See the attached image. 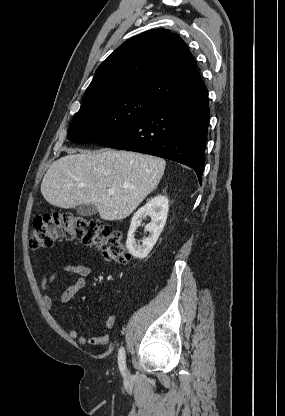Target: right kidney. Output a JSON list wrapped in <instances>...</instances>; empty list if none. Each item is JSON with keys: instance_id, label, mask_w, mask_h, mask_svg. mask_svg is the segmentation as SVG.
I'll list each match as a JSON object with an SVG mask.
<instances>
[{"instance_id": "right-kidney-1", "label": "right kidney", "mask_w": 285, "mask_h": 416, "mask_svg": "<svg viewBox=\"0 0 285 416\" xmlns=\"http://www.w3.org/2000/svg\"><path fill=\"white\" fill-rule=\"evenodd\" d=\"M169 206L167 196H155L149 200L145 206H142L131 220V226L128 230L126 248L137 260H144L150 254L155 246L167 220ZM150 216L152 222L145 226V230L150 232L148 238H144L141 246L134 240V232L141 226L143 218Z\"/></svg>"}]
</instances>
